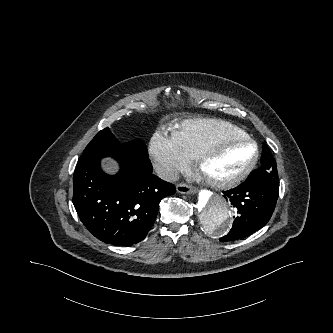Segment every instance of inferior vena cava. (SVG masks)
<instances>
[{"label":"inferior vena cava","instance_id":"1","mask_svg":"<svg viewBox=\"0 0 333 333\" xmlns=\"http://www.w3.org/2000/svg\"><path fill=\"white\" fill-rule=\"evenodd\" d=\"M155 171L158 177L168 182H175L178 180L179 177L178 171L169 166H163V165L157 166Z\"/></svg>","mask_w":333,"mask_h":333}]
</instances>
